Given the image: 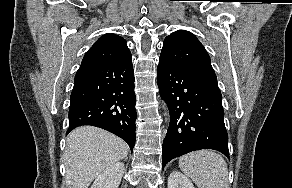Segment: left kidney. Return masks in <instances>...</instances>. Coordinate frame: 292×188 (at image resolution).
Returning <instances> with one entry per match:
<instances>
[{
	"mask_svg": "<svg viewBox=\"0 0 292 188\" xmlns=\"http://www.w3.org/2000/svg\"><path fill=\"white\" fill-rule=\"evenodd\" d=\"M168 188H195L193 183L179 171H173L168 177Z\"/></svg>",
	"mask_w": 292,
	"mask_h": 188,
	"instance_id": "obj_1",
	"label": "left kidney"
}]
</instances>
